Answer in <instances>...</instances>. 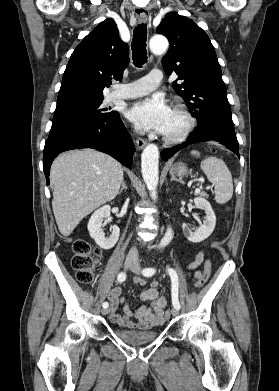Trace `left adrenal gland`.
<instances>
[{
  "mask_svg": "<svg viewBox=\"0 0 279 391\" xmlns=\"http://www.w3.org/2000/svg\"><path fill=\"white\" fill-rule=\"evenodd\" d=\"M171 181H176L182 183V181L178 180L174 174H171Z\"/></svg>",
  "mask_w": 279,
  "mask_h": 391,
  "instance_id": "obj_1",
  "label": "left adrenal gland"
}]
</instances>
